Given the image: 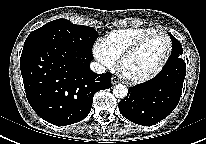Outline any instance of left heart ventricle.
<instances>
[{
  "instance_id": "b2bd125f",
  "label": "left heart ventricle",
  "mask_w": 206,
  "mask_h": 144,
  "mask_svg": "<svg viewBox=\"0 0 206 144\" xmlns=\"http://www.w3.org/2000/svg\"><path fill=\"white\" fill-rule=\"evenodd\" d=\"M167 49L168 43L164 37L151 38L125 62V73L131 77H141L152 73L163 61Z\"/></svg>"
}]
</instances>
